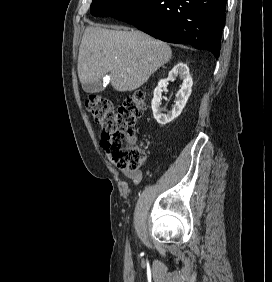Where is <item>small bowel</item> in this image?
I'll list each match as a JSON object with an SVG mask.
<instances>
[{
    "mask_svg": "<svg viewBox=\"0 0 272 282\" xmlns=\"http://www.w3.org/2000/svg\"><path fill=\"white\" fill-rule=\"evenodd\" d=\"M120 172L126 178L133 180L135 184H139L142 180V173L139 170L120 169Z\"/></svg>",
    "mask_w": 272,
    "mask_h": 282,
    "instance_id": "small-bowel-1",
    "label": "small bowel"
}]
</instances>
